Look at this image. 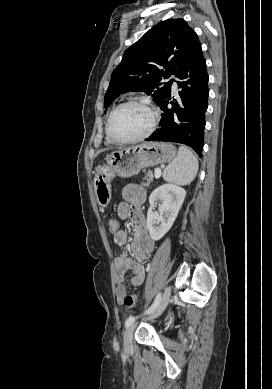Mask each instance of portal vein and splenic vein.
I'll return each mask as SVG.
<instances>
[{"label": "portal vein and splenic vein", "mask_w": 272, "mask_h": 389, "mask_svg": "<svg viewBox=\"0 0 272 389\" xmlns=\"http://www.w3.org/2000/svg\"><path fill=\"white\" fill-rule=\"evenodd\" d=\"M160 176H161V169L156 168V169H155V177H156V178H159Z\"/></svg>", "instance_id": "1"}]
</instances>
